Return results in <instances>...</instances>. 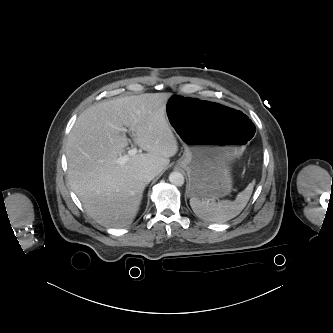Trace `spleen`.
Here are the masks:
<instances>
[{
	"mask_svg": "<svg viewBox=\"0 0 333 333\" xmlns=\"http://www.w3.org/2000/svg\"><path fill=\"white\" fill-rule=\"evenodd\" d=\"M253 187L254 184L250 183L245 190L237 195L234 201L208 202L192 197L190 206L193 212L204 221L223 223L240 214L250 199Z\"/></svg>",
	"mask_w": 333,
	"mask_h": 333,
	"instance_id": "1",
	"label": "spleen"
}]
</instances>
